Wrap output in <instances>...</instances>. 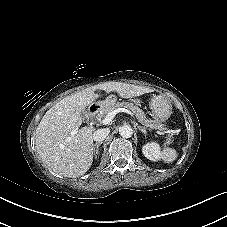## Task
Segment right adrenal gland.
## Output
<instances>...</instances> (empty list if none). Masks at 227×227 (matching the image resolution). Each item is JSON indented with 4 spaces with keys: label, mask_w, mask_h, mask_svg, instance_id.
I'll return each instance as SVG.
<instances>
[{
    "label": "right adrenal gland",
    "mask_w": 227,
    "mask_h": 227,
    "mask_svg": "<svg viewBox=\"0 0 227 227\" xmlns=\"http://www.w3.org/2000/svg\"><path fill=\"white\" fill-rule=\"evenodd\" d=\"M102 142L95 143L93 145V153L95 155V158L99 157V147L101 146Z\"/></svg>",
    "instance_id": "2a0ac1e0"
}]
</instances>
